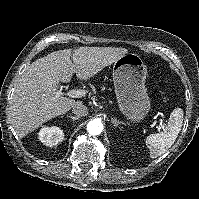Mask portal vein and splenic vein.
Masks as SVG:
<instances>
[{"label":"portal vein and splenic vein","instance_id":"1","mask_svg":"<svg viewBox=\"0 0 199 199\" xmlns=\"http://www.w3.org/2000/svg\"><path fill=\"white\" fill-rule=\"evenodd\" d=\"M67 95L72 98H81L86 95V92L84 90L72 89V90L68 91ZM155 125H156V123L153 124V127H155L157 129V131H159V132L161 129L165 128V123L163 122V120H160L159 124L156 126Z\"/></svg>","mask_w":199,"mask_h":199}]
</instances>
